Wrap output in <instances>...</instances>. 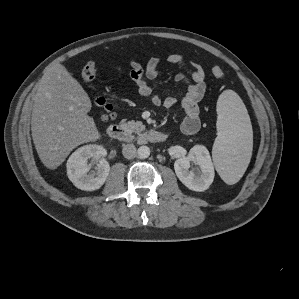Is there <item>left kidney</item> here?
Masks as SVG:
<instances>
[{"instance_id":"1","label":"left kidney","mask_w":299,"mask_h":299,"mask_svg":"<svg viewBox=\"0 0 299 299\" xmlns=\"http://www.w3.org/2000/svg\"><path fill=\"white\" fill-rule=\"evenodd\" d=\"M174 170L188 189L199 192L209 188L215 174L209 151L202 145H195L187 156L177 159Z\"/></svg>"}]
</instances>
